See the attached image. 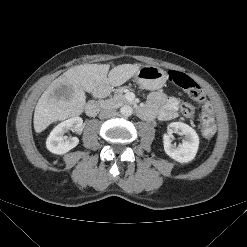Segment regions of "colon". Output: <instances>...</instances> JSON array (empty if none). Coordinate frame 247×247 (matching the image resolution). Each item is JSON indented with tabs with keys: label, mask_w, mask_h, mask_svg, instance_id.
<instances>
[{
	"label": "colon",
	"mask_w": 247,
	"mask_h": 247,
	"mask_svg": "<svg viewBox=\"0 0 247 247\" xmlns=\"http://www.w3.org/2000/svg\"><path fill=\"white\" fill-rule=\"evenodd\" d=\"M169 80L183 89L195 102L203 103L205 101L203 89L188 75L176 70H171L169 71ZM181 112L186 118H192L196 113V107L190 103H185L181 107ZM201 132L206 139H211L216 132L214 110L210 103H205L202 107Z\"/></svg>",
	"instance_id": "1"
}]
</instances>
